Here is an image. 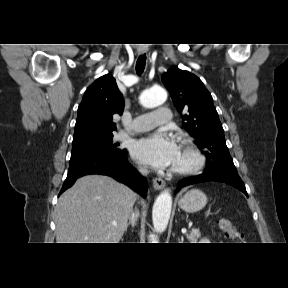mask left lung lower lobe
<instances>
[{
  "mask_svg": "<svg viewBox=\"0 0 288 288\" xmlns=\"http://www.w3.org/2000/svg\"><path fill=\"white\" fill-rule=\"evenodd\" d=\"M206 181H218V182H223L228 185H231L240 191H242L245 195H247L245 185L239 175H230L226 173H220V172H203L202 174L198 176H193L189 178L182 179L181 181L178 182V188L176 189V192L180 190V188L191 185V184H196L200 182H206ZM248 196V195H247Z\"/></svg>",
  "mask_w": 288,
  "mask_h": 288,
  "instance_id": "left-lung-lower-lobe-1",
  "label": "left lung lower lobe"
}]
</instances>
